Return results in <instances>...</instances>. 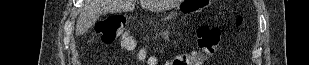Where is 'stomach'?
<instances>
[{
  "instance_id": "stomach-1",
  "label": "stomach",
  "mask_w": 309,
  "mask_h": 65,
  "mask_svg": "<svg viewBox=\"0 0 309 65\" xmlns=\"http://www.w3.org/2000/svg\"><path fill=\"white\" fill-rule=\"evenodd\" d=\"M209 3L208 0H185L179 7V13L191 14L201 11Z\"/></svg>"
}]
</instances>
